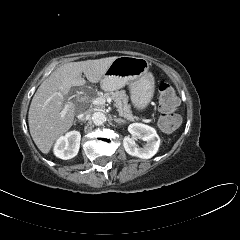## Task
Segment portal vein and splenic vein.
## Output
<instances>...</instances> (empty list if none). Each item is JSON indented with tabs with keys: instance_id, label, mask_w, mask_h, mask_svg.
<instances>
[{
	"instance_id": "obj_1",
	"label": "portal vein and splenic vein",
	"mask_w": 240,
	"mask_h": 240,
	"mask_svg": "<svg viewBox=\"0 0 240 240\" xmlns=\"http://www.w3.org/2000/svg\"><path fill=\"white\" fill-rule=\"evenodd\" d=\"M57 94H58V96H61L60 93H57ZM106 102H111V99H110V98L105 99V98H103V97H97V98L92 99V103H93L94 105H103V104H105ZM65 113H66V109H64V110L61 112L62 116H64Z\"/></svg>"
}]
</instances>
